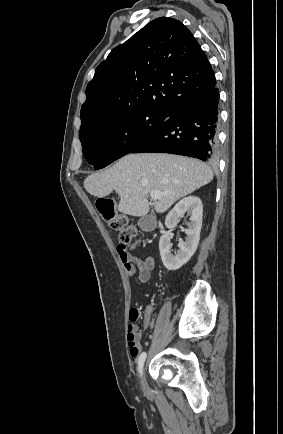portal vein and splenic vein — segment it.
I'll use <instances>...</instances> for the list:
<instances>
[{
  "mask_svg": "<svg viewBox=\"0 0 283 434\" xmlns=\"http://www.w3.org/2000/svg\"><path fill=\"white\" fill-rule=\"evenodd\" d=\"M161 196H163V193H161L160 191L153 190L150 192V197L154 200L161 198Z\"/></svg>",
  "mask_w": 283,
  "mask_h": 434,
  "instance_id": "portal-vein-and-splenic-vein-1",
  "label": "portal vein and splenic vein"
}]
</instances>
